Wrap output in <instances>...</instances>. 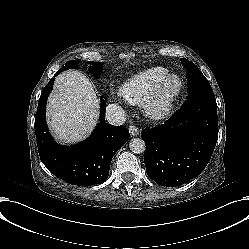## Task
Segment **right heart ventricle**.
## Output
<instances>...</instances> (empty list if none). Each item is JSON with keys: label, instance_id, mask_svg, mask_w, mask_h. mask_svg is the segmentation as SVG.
Instances as JSON below:
<instances>
[{"label": "right heart ventricle", "instance_id": "1", "mask_svg": "<svg viewBox=\"0 0 249 249\" xmlns=\"http://www.w3.org/2000/svg\"><path fill=\"white\" fill-rule=\"evenodd\" d=\"M168 69L161 66L144 69L132 75L120 88L121 95L136 105L148 101L163 83Z\"/></svg>", "mask_w": 249, "mask_h": 249}]
</instances>
